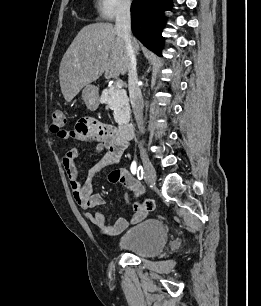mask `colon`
Returning <instances> with one entry per match:
<instances>
[{"mask_svg": "<svg viewBox=\"0 0 261 306\" xmlns=\"http://www.w3.org/2000/svg\"><path fill=\"white\" fill-rule=\"evenodd\" d=\"M65 115L60 108H55L51 114L50 129L53 133H56L59 137L64 134ZM112 182H120L124 180V176L119 171L112 172L110 175ZM145 210H153L154 202L151 199H147L143 202Z\"/></svg>", "mask_w": 261, "mask_h": 306, "instance_id": "colon-1", "label": "colon"}]
</instances>
